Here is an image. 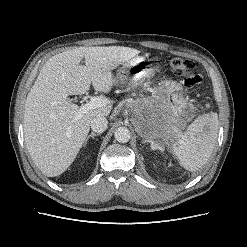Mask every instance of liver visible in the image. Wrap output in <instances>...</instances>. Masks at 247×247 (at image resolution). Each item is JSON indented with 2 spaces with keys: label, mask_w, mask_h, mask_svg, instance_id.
I'll return each mask as SVG.
<instances>
[{
  "label": "liver",
  "mask_w": 247,
  "mask_h": 247,
  "mask_svg": "<svg viewBox=\"0 0 247 247\" xmlns=\"http://www.w3.org/2000/svg\"><path fill=\"white\" fill-rule=\"evenodd\" d=\"M139 50L123 47H78L56 54L42 67L30 89L24 111L27 150L48 177H55L73 163L96 116H108L112 104L94 108L78 117L80 107L67 99L90 89L108 93L116 80L112 70L132 59ZM85 65H81L82 59Z\"/></svg>",
  "instance_id": "6515ba94"
}]
</instances>
